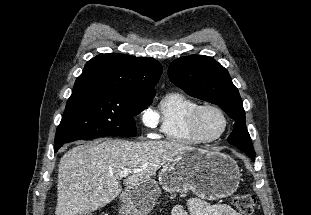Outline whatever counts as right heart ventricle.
<instances>
[{
	"label": "right heart ventricle",
	"mask_w": 311,
	"mask_h": 215,
	"mask_svg": "<svg viewBox=\"0 0 311 215\" xmlns=\"http://www.w3.org/2000/svg\"><path fill=\"white\" fill-rule=\"evenodd\" d=\"M199 104L180 92H170L163 96L154 115L163 138L168 141L195 145L202 143L189 128V117Z\"/></svg>",
	"instance_id": "obj_1"
}]
</instances>
